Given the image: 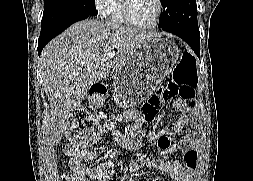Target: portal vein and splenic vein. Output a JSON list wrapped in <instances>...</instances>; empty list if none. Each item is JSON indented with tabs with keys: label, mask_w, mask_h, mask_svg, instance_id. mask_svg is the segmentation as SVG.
<instances>
[{
	"label": "portal vein and splenic vein",
	"mask_w": 253,
	"mask_h": 181,
	"mask_svg": "<svg viewBox=\"0 0 253 181\" xmlns=\"http://www.w3.org/2000/svg\"><path fill=\"white\" fill-rule=\"evenodd\" d=\"M106 56H107L108 59H112V58H114L115 53H113V52H108V53L106 54Z\"/></svg>",
	"instance_id": "18ae733b"
}]
</instances>
